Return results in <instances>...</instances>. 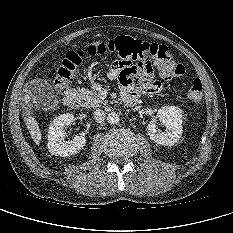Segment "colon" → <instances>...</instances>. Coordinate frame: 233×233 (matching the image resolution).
Instances as JSON below:
<instances>
[{"label": "colon", "mask_w": 233, "mask_h": 233, "mask_svg": "<svg viewBox=\"0 0 233 233\" xmlns=\"http://www.w3.org/2000/svg\"><path fill=\"white\" fill-rule=\"evenodd\" d=\"M87 52L90 55L104 54L106 52L115 53L118 55L119 61L133 58L138 52L156 53L161 58V65L158 69L164 79L171 80L185 73L184 66L174 60L166 46L149 43L131 36H120L107 44H102L97 47L92 46L88 48ZM83 58L84 53L81 51H70L66 54L54 74L53 83L57 90L61 91L70 85ZM188 97L195 104L202 102L203 84L199 78L192 80Z\"/></svg>", "instance_id": "obj_1"}]
</instances>
